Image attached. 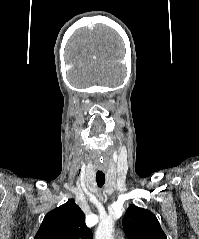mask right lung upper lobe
Returning <instances> with one entry per match:
<instances>
[{
    "label": "right lung upper lobe",
    "instance_id": "1",
    "mask_svg": "<svg viewBox=\"0 0 199 239\" xmlns=\"http://www.w3.org/2000/svg\"><path fill=\"white\" fill-rule=\"evenodd\" d=\"M34 239H92L85 215L73 200L50 211Z\"/></svg>",
    "mask_w": 199,
    "mask_h": 239
}]
</instances>
